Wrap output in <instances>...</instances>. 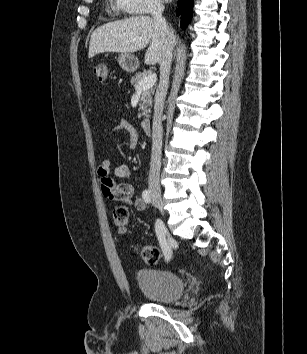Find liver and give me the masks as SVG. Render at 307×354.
<instances>
[{
  "mask_svg": "<svg viewBox=\"0 0 307 354\" xmlns=\"http://www.w3.org/2000/svg\"><path fill=\"white\" fill-rule=\"evenodd\" d=\"M176 42L177 38L174 35V44ZM148 44L145 63L148 65L160 63L163 42L153 19L148 16L131 17L98 27L91 35L88 57L93 58L104 52L131 54L144 49Z\"/></svg>",
  "mask_w": 307,
  "mask_h": 354,
  "instance_id": "6515ba94",
  "label": "liver"
}]
</instances>
